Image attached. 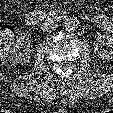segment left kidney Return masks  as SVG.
Segmentation results:
<instances>
[{
	"label": "left kidney",
	"mask_w": 113,
	"mask_h": 113,
	"mask_svg": "<svg viewBox=\"0 0 113 113\" xmlns=\"http://www.w3.org/2000/svg\"><path fill=\"white\" fill-rule=\"evenodd\" d=\"M94 52L100 59L113 60V37L99 33L95 35Z\"/></svg>",
	"instance_id": "obj_1"
}]
</instances>
